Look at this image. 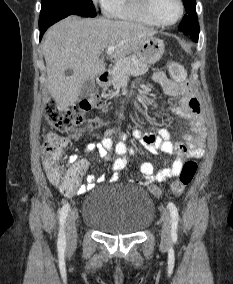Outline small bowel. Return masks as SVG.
<instances>
[{
    "label": "small bowel",
    "instance_id": "obj_1",
    "mask_svg": "<svg viewBox=\"0 0 233 284\" xmlns=\"http://www.w3.org/2000/svg\"><path fill=\"white\" fill-rule=\"evenodd\" d=\"M153 79L161 85L164 92L172 97L179 99L178 105L173 107L174 113L189 121L191 132L185 135V143L171 142L170 133L164 128H158L144 133L139 129L133 131V137L147 147L170 155H176V160L168 167L159 172H155L154 166L150 162H142L140 165V173L144 180L139 182L141 185H150L153 182H164L167 179L174 178L179 175L185 158H201L204 155L206 128L201 112L200 102L187 82H178L169 79L163 71H157L153 74ZM78 135L75 134L74 138ZM128 135L118 132L115 129H109L102 140L97 144H88L86 146L87 153L97 151L102 159L111 161L113 155L118 157L113 161L112 170L114 176L117 172L124 169L127 165V155H134L135 149L126 143ZM69 172L79 173L84 175L88 168L89 162L84 158H78L76 155L69 157ZM44 170L49 181L57 186L53 169L43 161ZM105 180V176H95L90 174L87 176V184L81 186L77 191L78 194H83L86 191L92 190L97 183Z\"/></svg>",
    "mask_w": 233,
    "mask_h": 284
}]
</instances>
